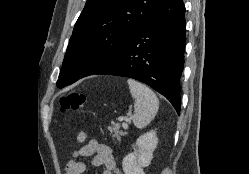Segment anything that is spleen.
<instances>
[{
  "instance_id": "obj_1",
  "label": "spleen",
  "mask_w": 249,
  "mask_h": 174,
  "mask_svg": "<svg viewBox=\"0 0 249 174\" xmlns=\"http://www.w3.org/2000/svg\"><path fill=\"white\" fill-rule=\"evenodd\" d=\"M131 96L135 99L133 123L137 128L146 127L155 117L159 109V100L146 85L128 79Z\"/></svg>"
}]
</instances>
